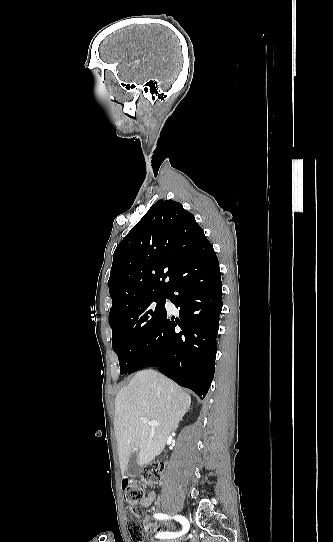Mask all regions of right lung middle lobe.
I'll use <instances>...</instances> for the list:
<instances>
[{"label":"right lung middle lobe","mask_w":333,"mask_h":542,"mask_svg":"<svg viewBox=\"0 0 333 542\" xmlns=\"http://www.w3.org/2000/svg\"><path fill=\"white\" fill-rule=\"evenodd\" d=\"M167 295L137 305L111 319L112 348L118 355L120 374H129L137 358L152 343L160 322L167 316Z\"/></svg>","instance_id":"1"}]
</instances>
